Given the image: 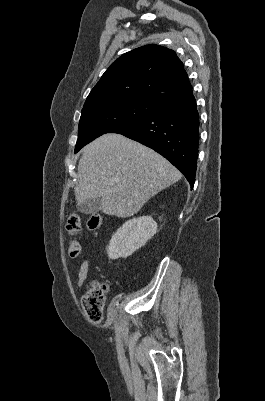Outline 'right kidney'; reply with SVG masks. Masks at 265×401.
I'll use <instances>...</instances> for the list:
<instances>
[{
    "label": "right kidney",
    "mask_w": 265,
    "mask_h": 401,
    "mask_svg": "<svg viewBox=\"0 0 265 401\" xmlns=\"http://www.w3.org/2000/svg\"><path fill=\"white\" fill-rule=\"evenodd\" d=\"M157 231V223L152 217H137L126 221L113 235L107 255L109 259L130 257L137 249L143 247Z\"/></svg>",
    "instance_id": "ca27d5eb"
}]
</instances>
